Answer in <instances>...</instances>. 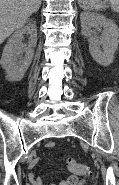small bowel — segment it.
Returning <instances> with one entry per match:
<instances>
[{"instance_id": "small-bowel-1", "label": "small bowel", "mask_w": 119, "mask_h": 185, "mask_svg": "<svg viewBox=\"0 0 119 185\" xmlns=\"http://www.w3.org/2000/svg\"><path fill=\"white\" fill-rule=\"evenodd\" d=\"M47 147L48 148H54L55 147V143L54 142H49L47 144ZM38 162H39V159L33 160L29 164V168L30 169L34 168ZM29 180H30V182H31L32 185H44L41 177L38 176L35 172H31L29 174ZM76 182H77V177L74 176V175H70L66 179L61 180L58 183V185H76ZM51 185H56V184H51Z\"/></svg>"}]
</instances>
